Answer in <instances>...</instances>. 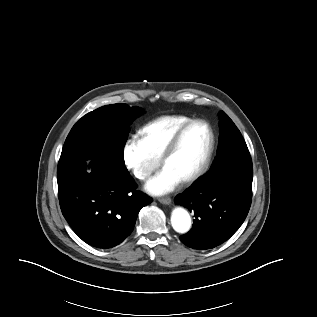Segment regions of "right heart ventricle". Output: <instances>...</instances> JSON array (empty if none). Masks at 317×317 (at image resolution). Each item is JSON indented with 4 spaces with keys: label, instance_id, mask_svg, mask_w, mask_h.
I'll return each instance as SVG.
<instances>
[{
    "label": "right heart ventricle",
    "instance_id": "1",
    "mask_svg": "<svg viewBox=\"0 0 317 317\" xmlns=\"http://www.w3.org/2000/svg\"><path fill=\"white\" fill-rule=\"evenodd\" d=\"M190 120L185 115L162 116L146 124L139 133L150 153L161 159L176 132Z\"/></svg>",
    "mask_w": 317,
    "mask_h": 317
}]
</instances>
